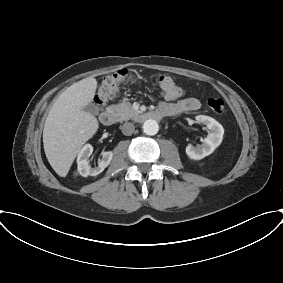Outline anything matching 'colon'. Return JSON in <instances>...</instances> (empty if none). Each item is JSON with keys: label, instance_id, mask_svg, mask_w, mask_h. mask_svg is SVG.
<instances>
[{"label": "colon", "instance_id": "colon-1", "mask_svg": "<svg viewBox=\"0 0 283 283\" xmlns=\"http://www.w3.org/2000/svg\"><path fill=\"white\" fill-rule=\"evenodd\" d=\"M125 74V70H119L106 76L95 95V103L102 107L104 106L114 95L117 83L122 79ZM158 83L166 97L177 98L181 94V89L178 85L168 76H160ZM207 106L215 113L221 114L225 111V104L220 97H210L207 99Z\"/></svg>", "mask_w": 283, "mask_h": 283}]
</instances>
